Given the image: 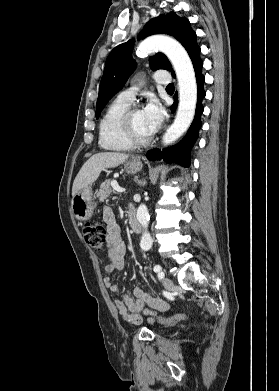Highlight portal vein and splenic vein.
Instances as JSON below:
<instances>
[{"label": "portal vein and splenic vein", "instance_id": "portal-vein-and-splenic-vein-1", "mask_svg": "<svg viewBox=\"0 0 279 391\" xmlns=\"http://www.w3.org/2000/svg\"><path fill=\"white\" fill-rule=\"evenodd\" d=\"M112 184L114 185V182H113ZM115 189H116V191L119 192V193L125 192V189H124V188H121V187H119V186H116Z\"/></svg>", "mask_w": 279, "mask_h": 391}]
</instances>
